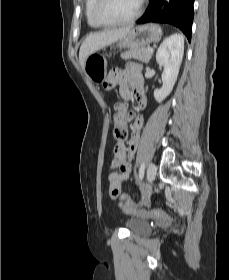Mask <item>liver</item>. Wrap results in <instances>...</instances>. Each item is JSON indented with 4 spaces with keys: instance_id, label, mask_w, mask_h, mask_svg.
Here are the masks:
<instances>
[{
    "instance_id": "1",
    "label": "liver",
    "mask_w": 229,
    "mask_h": 280,
    "mask_svg": "<svg viewBox=\"0 0 229 280\" xmlns=\"http://www.w3.org/2000/svg\"><path fill=\"white\" fill-rule=\"evenodd\" d=\"M131 29L132 27H126L87 35L79 51V62L81 66L83 67L84 61L89 55L95 53L105 46L119 41L125 37L131 31Z\"/></svg>"
}]
</instances>
